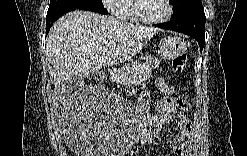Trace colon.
<instances>
[{
    "label": "colon",
    "mask_w": 247,
    "mask_h": 156,
    "mask_svg": "<svg viewBox=\"0 0 247 156\" xmlns=\"http://www.w3.org/2000/svg\"><path fill=\"white\" fill-rule=\"evenodd\" d=\"M187 64V57L185 54L177 55L172 61V70L176 73H182ZM169 106H173V101L171 98H159V101H155L153 112H160L161 109H169ZM159 118L163 117L162 113L158 114Z\"/></svg>",
    "instance_id": "1"
}]
</instances>
